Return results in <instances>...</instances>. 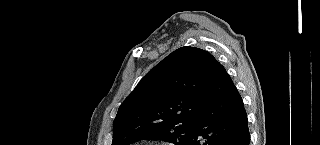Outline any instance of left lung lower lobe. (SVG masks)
I'll list each match as a JSON object with an SVG mask.
<instances>
[{"instance_id":"left-lung-lower-lobe-1","label":"left lung lower lobe","mask_w":320,"mask_h":145,"mask_svg":"<svg viewBox=\"0 0 320 145\" xmlns=\"http://www.w3.org/2000/svg\"><path fill=\"white\" fill-rule=\"evenodd\" d=\"M243 101L225 68L218 63L205 84V105L187 145H249Z\"/></svg>"}]
</instances>
